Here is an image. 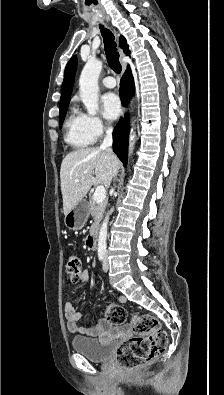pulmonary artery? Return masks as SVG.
<instances>
[{
    "label": "pulmonary artery",
    "instance_id": "e3ab8cb5",
    "mask_svg": "<svg viewBox=\"0 0 224 395\" xmlns=\"http://www.w3.org/2000/svg\"><path fill=\"white\" fill-rule=\"evenodd\" d=\"M102 84L106 88H114L116 86V80L112 76H107L102 80Z\"/></svg>",
    "mask_w": 224,
    "mask_h": 395
}]
</instances>
